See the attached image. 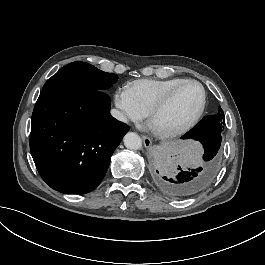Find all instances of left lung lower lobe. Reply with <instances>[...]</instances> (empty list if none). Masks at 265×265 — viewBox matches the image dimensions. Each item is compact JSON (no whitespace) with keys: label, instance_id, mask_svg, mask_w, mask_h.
<instances>
[{"label":"left lung lower lobe","instance_id":"obj_1","mask_svg":"<svg viewBox=\"0 0 265 265\" xmlns=\"http://www.w3.org/2000/svg\"><path fill=\"white\" fill-rule=\"evenodd\" d=\"M223 124L215 121L213 116H205L182 136V139H193L202 145L193 168L180 166V159L174 150L167 149L157 155L152 178L163 193L174 198H189L210 186L221 164Z\"/></svg>","mask_w":265,"mask_h":265}]
</instances>
